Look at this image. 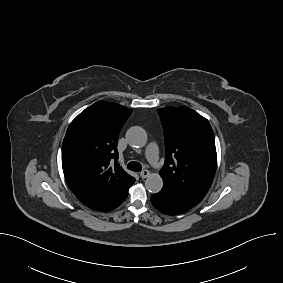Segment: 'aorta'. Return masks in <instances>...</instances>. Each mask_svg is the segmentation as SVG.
I'll return each mask as SVG.
<instances>
[{"mask_svg": "<svg viewBox=\"0 0 283 283\" xmlns=\"http://www.w3.org/2000/svg\"><path fill=\"white\" fill-rule=\"evenodd\" d=\"M126 139L130 146L143 147L147 143L146 131L139 126H133L126 132ZM145 187L151 193H158L163 187V180L158 173L150 174L145 180Z\"/></svg>", "mask_w": 283, "mask_h": 283, "instance_id": "aorta-1", "label": "aorta"}]
</instances>
